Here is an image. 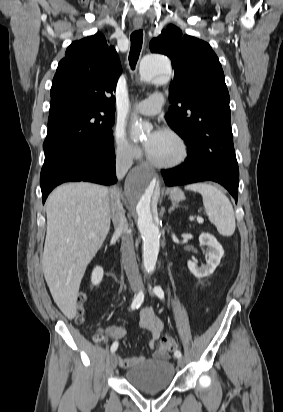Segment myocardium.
Masks as SVG:
<instances>
[{
	"mask_svg": "<svg viewBox=\"0 0 283 412\" xmlns=\"http://www.w3.org/2000/svg\"><path fill=\"white\" fill-rule=\"evenodd\" d=\"M162 132L169 134L170 136H172L179 144L180 146V156L169 163H162V162H158L156 160H154L148 153V151L146 150L145 155H146V159L147 161L153 165L154 167L157 168H161V169H173V168H177L179 166H181L188 158L189 155V148H188V144L186 142V140L182 137L181 134H179L177 131L171 129V128H164L162 130Z\"/></svg>",
	"mask_w": 283,
	"mask_h": 412,
	"instance_id": "f54148a6",
	"label": "myocardium"
}]
</instances>
